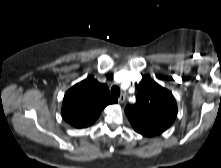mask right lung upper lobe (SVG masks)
I'll list each match as a JSON object with an SVG mask.
<instances>
[{
	"label": "right lung upper lobe",
	"instance_id": "1",
	"mask_svg": "<svg viewBox=\"0 0 221 168\" xmlns=\"http://www.w3.org/2000/svg\"><path fill=\"white\" fill-rule=\"evenodd\" d=\"M114 103L117 99L110 95L107 85L88 76L65 93L61 114L75 128H85L97 120L106 106Z\"/></svg>",
	"mask_w": 221,
	"mask_h": 168
}]
</instances>
